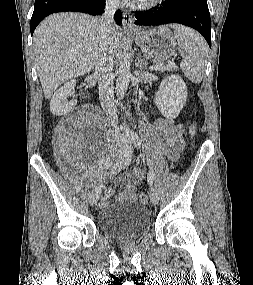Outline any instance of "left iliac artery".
<instances>
[{"label": "left iliac artery", "instance_id": "44dca946", "mask_svg": "<svg viewBox=\"0 0 253 285\" xmlns=\"http://www.w3.org/2000/svg\"><path fill=\"white\" fill-rule=\"evenodd\" d=\"M130 139L136 147L138 148L140 147L141 141L139 139V136L136 133H131ZM147 180H148L149 185L153 184L154 174L151 171L148 172Z\"/></svg>", "mask_w": 253, "mask_h": 285}]
</instances>
